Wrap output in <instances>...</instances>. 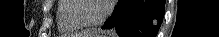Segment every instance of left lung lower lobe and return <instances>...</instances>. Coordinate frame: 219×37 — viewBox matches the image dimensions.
<instances>
[{"mask_svg": "<svg viewBox=\"0 0 219 37\" xmlns=\"http://www.w3.org/2000/svg\"><path fill=\"white\" fill-rule=\"evenodd\" d=\"M165 0H119L103 29L114 27L120 37H156Z\"/></svg>", "mask_w": 219, "mask_h": 37, "instance_id": "obj_1", "label": "left lung lower lobe"}]
</instances>
